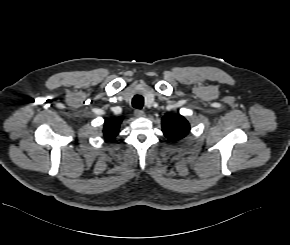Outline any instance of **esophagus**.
<instances>
[{"label": "esophagus", "mask_w": 290, "mask_h": 245, "mask_svg": "<svg viewBox=\"0 0 290 245\" xmlns=\"http://www.w3.org/2000/svg\"><path fill=\"white\" fill-rule=\"evenodd\" d=\"M134 114L138 118L145 117V112L143 110L137 109V110L134 111Z\"/></svg>", "instance_id": "esophagus-1"}]
</instances>
